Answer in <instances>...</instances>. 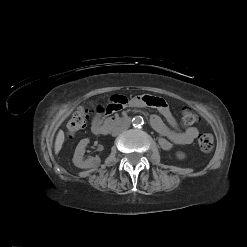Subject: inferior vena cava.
<instances>
[{
	"mask_svg": "<svg viewBox=\"0 0 247 247\" xmlns=\"http://www.w3.org/2000/svg\"><path fill=\"white\" fill-rule=\"evenodd\" d=\"M126 129H127L126 125L117 126L112 130V136H117L118 134L125 131Z\"/></svg>",
	"mask_w": 247,
	"mask_h": 247,
	"instance_id": "obj_1",
	"label": "inferior vena cava"
}]
</instances>
